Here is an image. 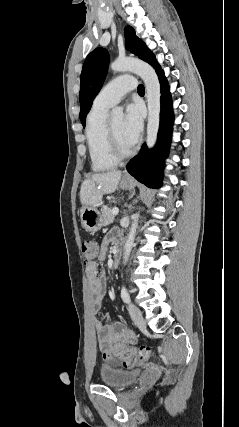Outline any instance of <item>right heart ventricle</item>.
<instances>
[{
    "mask_svg": "<svg viewBox=\"0 0 239 427\" xmlns=\"http://www.w3.org/2000/svg\"><path fill=\"white\" fill-rule=\"evenodd\" d=\"M110 107L93 105L86 120V140L94 171H106L117 164L107 141V114Z\"/></svg>",
    "mask_w": 239,
    "mask_h": 427,
    "instance_id": "right-heart-ventricle-1",
    "label": "right heart ventricle"
}]
</instances>
